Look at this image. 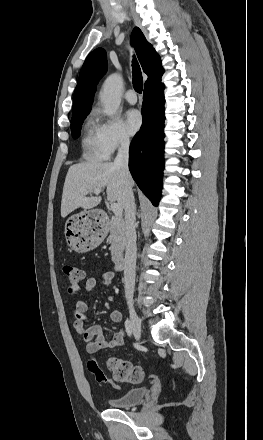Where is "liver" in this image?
<instances>
[{
    "instance_id": "6515ba94",
    "label": "liver",
    "mask_w": 263,
    "mask_h": 440,
    "mask_svg": "<svg viewBox=\"0 0 263 440\" xmlns=\"http://www.w3.org/2000/svg\"><path fill=\"white\" fill-rule=\"evenodd\" d=\"M131 185L133 181L131 180ZM106 188L107 200L117 202L122 208L123 183L120 169L111 162L88 161L70 166L63 187L61 216L64 218L77 208L81 213L96 207L101 202L99 196H86V192Z\"/></svg>"
}]
</instances>
